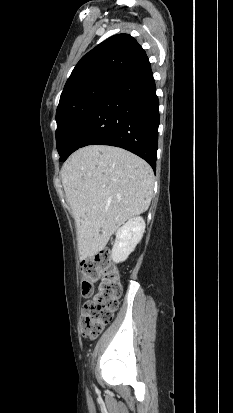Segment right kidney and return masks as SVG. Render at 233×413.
I'll list each match as a JSON object with an SVG mask.
<instances>
[{
    "label": "right kidney",
    "mask_w": 233,
    "mask_h": 413,
    "mask_svg": "<svg viewBox=\"0 0 233 413\" xmlns=\"http://www.w3.org/2000/svg\"><path fill=\"white\" fill-rule=\"evenodd\" d=\"M144 231L145 221L140 216L129 219L120 227L116 232V239L111 252L113 261L116 263L125 261L140 242Z\"/></svg>",
    "instance_id": "obj_1"
}]
</instances>
